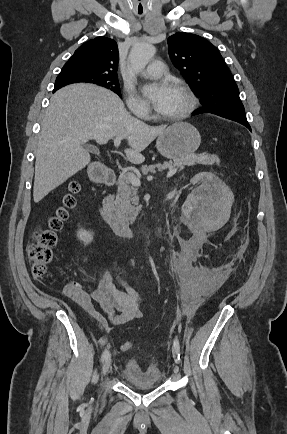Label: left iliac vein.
<instances>
[{
    "mask_svg": "<svg viewBox=\"0 0 287 434\" xmlns=\"http://www.w3.org/2000/svg\"><path fill=\"white\" fill-rule=\"evenodd\" d=\"M172 355H173V357H174V359H177V350H176V348L173 346V348H172ZM174 371L175 372H178L179 371V366H175L174 367Z\"/></svg>",
    "mask_w": 287,
    "mask_h": 434,
    "instance_id": "4c4485c4",
    "label": "left iliac vein"
}]
</instances>
